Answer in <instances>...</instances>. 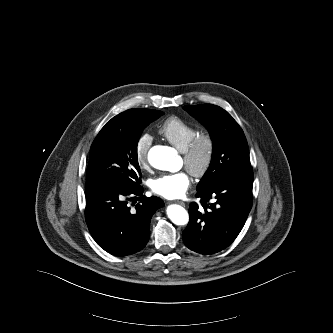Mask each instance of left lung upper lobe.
I'll list each match as a JSON object with an SVG mask.
<instances>
[{"instance_id": "1", "label": "left lung upper lobe", "mask_w": 333, "mask_h": 333, "mask_svg": "<svg viewBox=\"0 0 333 333\" xmlns=\"http://www.w3.org/2000/svg\"><path fill=\"white\" fill-rule=\"evenodd\" d=\"M183 108L208 128L213 141L211 164L199 182L197 191L207 189L229 176L252 172L245 135L227 111L212 104Z\"/></svg>"}]
</instances>
